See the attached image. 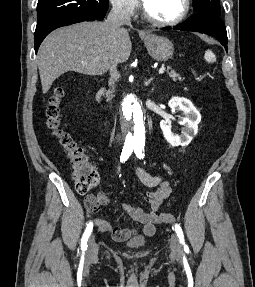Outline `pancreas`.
<instances>
[{"instance_id":"obj_1","label":"pancreas","mask_w":255,"mask_h":287,"mask_svg":"<svg viewBox=\"0 0 255 287\" xmlns=\"http://www.w3.org/2000/svg\"><path fill=\"white\" fill-rule=\"evenodd\" d=\"M167 70H168V76L172 78L173 82H182L183 78H181L180 74H176L175 70H170L169 66H167ZM109 100H111V96L107 94V102H109Z\"/></svg>"}]
</instances>
